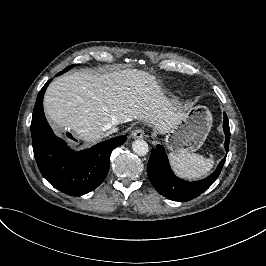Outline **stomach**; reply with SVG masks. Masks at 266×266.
Here are the masks:
<instances>
[{
    "instance_id": "obj_1",
    "label": "stomach",
    "mask_w": 266,
    "mask_h": 266,
    "mask_svg": "<svg viewBox=\"0 0 266 266\" xmlns=\"http://www.w3.org/2000/svg\"><path fill=\"white\" fill-rule=\"evenodd\" d=\"M212 125V115L203 106L188 110L184 120L166 137L171 151L187 154L197 150L205 141Z\"/></svg>"
}]
</instances>
